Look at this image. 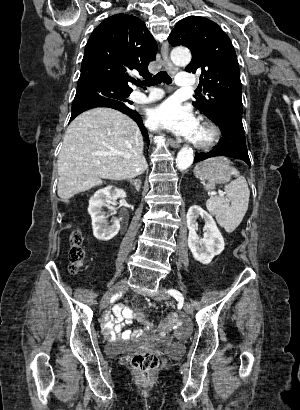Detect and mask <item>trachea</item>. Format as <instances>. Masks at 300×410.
Here are the masks:
<instances>
[{"label": "trachea", "instance_id": "trachea-1", "mask_svg": "<svg viewBox=\"0 0 300 410\" xmlns=\"http://www.w3.org/2000/svg\"><path fill=\"white\" fill-rule=\"evenodd\" d=\"M162 82H164L166 84H171L172 83V79L166 71H161V72L157 73L156 75H154L153 77L148 78L145 81H136L135 85H137L139 87H143L144 89H146V86H155V85H158Z\"/></svg>", "mask_w": 300, "mask_h": 410}]
</instances>
